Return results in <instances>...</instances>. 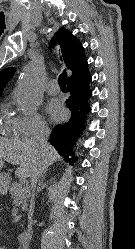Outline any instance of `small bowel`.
<instances>
[{"label":"small bowel","instance_id":"small-bowel-1","mask_svg":"<svg viewBox=\"0 0 135 249\" xmlns=\"http://www.w3.org/2000/svg\"><path fill=\"white\" fill-rule=\"evenodd\" d=\"M0 249H5V248H3V247H0Z\"/></svg>","mask_w":135,"mask_h":249}]
</instances>
